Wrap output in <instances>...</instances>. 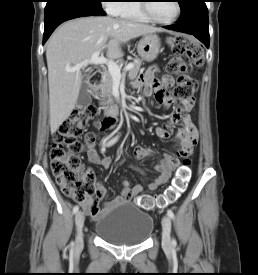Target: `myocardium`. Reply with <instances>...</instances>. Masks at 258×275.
Listing matches in <instances>:
<instances>
[{
	"label": "myocardium",
	"mask_w": 258,
	"mask_h": 275,
	"mask_svg": "<svg viewBox=\"0 0 258 275\" xmlns=\"http://www.w3.org/2000/svg\"><path fill=\"white\" fill-rule=\"evenodd\" d=\"M142 2H147V1H142ZM174 2L176 4V9H177L176 14L172 19L166 20V21H163V20H160V19L156 18L151 13L149 3H141V9H142L143 13L148 17V19H150L154 23L164 24V25L172 24L179 18L180 14H181V5H180L179 1L175 0Z\"/></svg>",
	"instance_id": "myocardium-1"
}]
</instances>
